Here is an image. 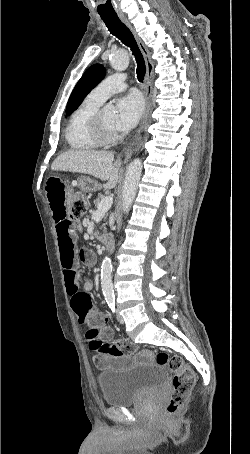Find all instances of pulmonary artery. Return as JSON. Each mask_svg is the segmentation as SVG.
Here are the masks:
<instances>
[{"mask_svg": "<svg viewBox=\"0 0 250 454\" xmlns=\"http://www.w3.org/2000/svg\"><path fill=\"white\" fill-rule=\"evenodd\" d=\"M128 82L124 74H114L105 78L97 87H95L88 97L93 101L102 104L107 98L114 93L120 92L127 88Z\"/></svg>", "mask_w": 250, "mask_h": 454, "instance_id": "obj_1", "label": "pulmonary artery"}]
</instances>
